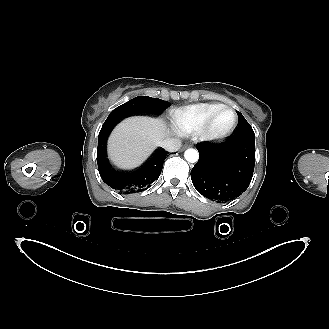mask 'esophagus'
<instances>
[{
    "instance_id": "esophagus-1",
    "label": "esophagus",
    "mask_w": 329,
    "mask_h": 329,
    "mask_svg": "<svg viewBox=\"0 0 329 329\" xmlns=\"http://www.w3.org/2000/svg\"><path fill=\"white\" fill-rule=\"evenodd\" d=\"M189 146L188 145H184L183 147H182V149H186V148H188Z\"/></svg>"
}]
</instances>
